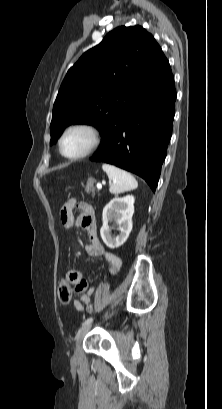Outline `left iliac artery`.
Masks as SVG:
<instances>
[{"label":"left iliac artery","mask_w":222,"mask_h":409,"mask_svg":"<svg viewBox=\"0 0 222 409\" xmlns=\"http://www.w3.org/2000/svg\"><path fill=\"white\" fill-rule=\"evenodd\" d=\"M93 317H90V318H88L84 323H83V325H88V324H91L92 322H93Z\"/></svg>","instance_id":"left-iliac-artery-1"}]
</instances>
